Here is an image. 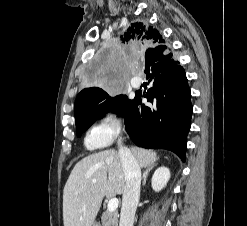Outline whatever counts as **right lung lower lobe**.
<instances>
[{"label": "right lung lower lobe", "mask_w": 247, "mask_h": 226, "mask_svg": "<svg viewBox=\"0 0 247 226\" xmlns=\"http://www.w3.org/2000/svg\"><path fill=\"white\" fill-rule=\"evenodd\" d=\"M145 58V72L151 71L153 87L145 95L136 92L117 112L124 114L125 129L136 145L171 150L185 161L192 115L185 71L166 44L149 49ZM142 97L154 106L141 105Z\"/></svg>", "instance_id": "98d812e1"}]
</instances>
